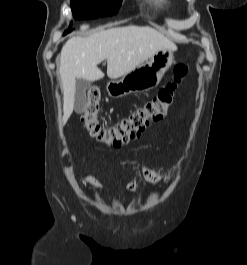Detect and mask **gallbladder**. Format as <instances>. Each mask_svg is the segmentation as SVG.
<instances>
[{
    "mask_svg": "<svg viewBox=\"0 0 247 265\" xmlns=\"http://www.w3.org/2000/svg\"><path fill=\"white\" fill-rule=\"evenodd\" d=\"M91 83L85 79L76 80V89L74 96V109L77 113H82L85 105L86 91L90 88Z\"/></svg>",
    "mask_w": 247,
    "mask_h": 265,
    "instance_id": "obj_1",
    "label": "gallbladder"
}]
</instances>
